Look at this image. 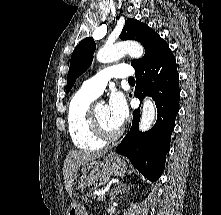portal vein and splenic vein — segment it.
<instances>
[{"mask_svg":"<svg viewBox=\"0 0 221 215\" xmlns=\"http://www.w3.org/2000/svg\"><path fill=\"white\" fill-rule=\"evenodd\" d=\"M98 200H103V199H105V196H98V198H97Z\"/></svg>","mask_w":221,"mask_h":215,"instance_id":"1","label":"portal vein and splenic vein"}]
</instances>
